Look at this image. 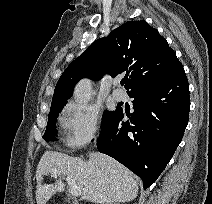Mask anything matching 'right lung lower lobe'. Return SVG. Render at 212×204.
I'll return each instance as SVG.
<instances>
[{
	"label": "right lung lower lobe",
	"instance_id": "98d812e1",
	"mask_svg": "<svg viewBox=\"0 0 212 204\" xmlns=\"http://www.w3.org/2000/svg\"><path fill=\"white\" fill-rule=\"evenodd\" d=\"M135 111L119 109L102 128L97 148L152 185L172 158L188 123L190 97L184 69L128 93Z\"/></svg>",
	"mask_w": 212,
	"mask_h": 204
}]
</instances>
